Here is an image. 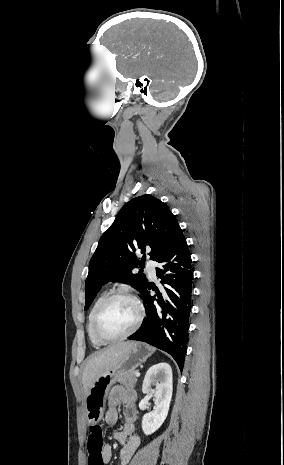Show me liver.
<instances>
[{"label": "liver", "instance_id": "liver-1", "mask_svg": "<svg viewBox=\"0 0 284 465\" xmlns=\"http://www.w3.org/2000/svg\"><path fill=\"white\" fill-rule=\"evenodd\" d=\"M132 345L133 343H129V341H127V343H117V345H111V347H107V349H104L101 353L92 355V357L88 359L82 373V385L85 397L96 379H98L100 375H104L106 371H110V369L117 367L120 361H122L125 353H128L129 349H131Z\"/></svg>", "mask_w": 284, "mask_h": 465}]
</instances>
